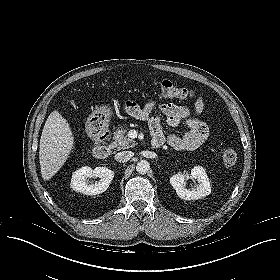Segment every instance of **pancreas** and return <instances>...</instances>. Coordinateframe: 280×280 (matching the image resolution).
I'll return each instance as SVG.
<instances>
[{"instance_id":"obj_1","label":"pancreas","mask_w":280,"mask_h":280,"mask_svg":"<svg viewBox=\"0 0 280 280\" xmlns=\"http://www.w3.org/2000/svg\"><path fill=\"white\" fill-rule=\"evenodd\" d=\"M127 129L124 127L118 128L114 132V145L119 149H128L134 147L137 143L126 135Z\"/></svg>"}]
</instances>
